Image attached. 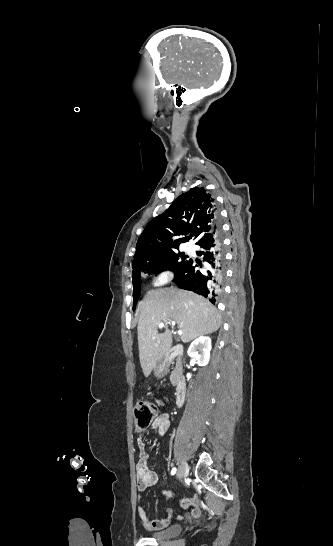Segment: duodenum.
I'll list each match as a JSON object with an SVG mask.
<instances>
[{
	"label": "duodenum",
	"instance_id": "1",
	"mask_svg": "<svg viewBox=\"0 0 333 546\" xmlns=\"http://www.w3.org/2000/svg\"><path fill=\"white\" fill-rule=\"evenodd\" d=\"M183 354V349L180 346H173L167 353V359L172 360L180 358ZM187 394V383L183 377H179L175 383V402L177 405H182Z\"/></svg>",
	"mask_w": 333,
	"mask_h": 546
}]
</instances>
